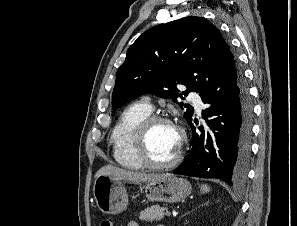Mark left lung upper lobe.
Listing matches in <instances>:
<instances>
[{"mask_svg": "<svg viewBox=\"0 0 297 226\" xmlns=\"http://www.w3.org/2000/svg\"><path fill=\"white\" fill-rule=\"evenodd\" d=\"M241 75L234 55L219 30L201 17H186L160 24L144 32L129 47L119 67L112 94V108L118 109L145 93L173 99L209 86L227 87ZM187 89L181 92L179 85ZM187 108L186 121L193 107Z\"/></svg>", "mask_w": 297, "mask_h": 226, "instance_id": "1", "label": "left lung upper lobe"}]
</instances>
